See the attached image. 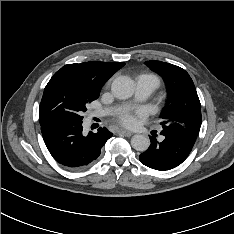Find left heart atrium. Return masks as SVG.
<instances>
[{
  "mask_svg": "<svg viewBox=\"0 0 234 234\" xmlns=\"http://www.w3.org/2000/svg\"><path fill=\"white\" fill-rule=\"evenodd\" d=\"M137 116H143V111L138 110L135 112ZM132 112H123L119 115V121L126 127H134L136 125V115Z\"/></svg>",
  "mask_w": 234,
  "mask_h": 234,
  "instance_id": "obj_1",
  "label": "left heart atrium"
}]
</instances>
